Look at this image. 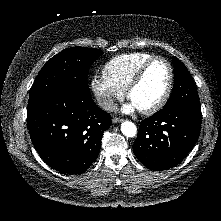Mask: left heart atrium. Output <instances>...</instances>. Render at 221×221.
I'll return each instance as SVG.
<instances>
[{"mask_svg":"<svg viewBox=\"0 0 221 221\" xmlns=\"http://www.w3.org/2000/svg\"><path fill=\"white\" fill-rule=\"evenodd\" d=\"M137 107L132 103L130 102L129 104L125 105L124 108H123V111L124 112H132L136 109Z\"/></svg>","mask_w":221,"mask_h":221,"instance_id":"39dd6f15","label":"left heart atrium"}]
</instances>
